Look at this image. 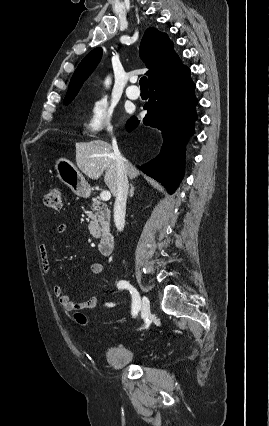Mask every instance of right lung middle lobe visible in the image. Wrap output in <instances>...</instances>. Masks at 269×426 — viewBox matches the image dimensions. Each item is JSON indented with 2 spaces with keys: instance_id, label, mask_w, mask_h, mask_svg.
Segmentation results:
<instances>
[{
  "instance_id": "dd1d6c3e",
  "label": "right lung middle lobe",
  "mask_w": 269,
  "mask_h": 426,
  "mask_svg": "<svg viewBox=\"0 0 269 426\" xmlns=\"http://www.w3.org/2000/svg\"><path fill=\"white\" fill-rule=\"evenodd\" d=\"M74 98L72 97V98H67V99H64V104L65 105H68L72 100H73Z\"/></svg>"
}]
</instances>
